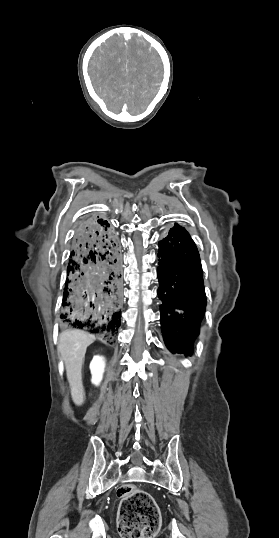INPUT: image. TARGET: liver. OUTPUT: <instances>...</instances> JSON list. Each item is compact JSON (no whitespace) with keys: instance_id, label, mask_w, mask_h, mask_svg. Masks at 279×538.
<instances>
[{"instance_id":"1","label":"liver","mask_w":279,"mask_h":538,"mask_svg":"<svg viewBox=\"0 0 279 538\" xmlns=\"http://www.w3.org/2000/svg\"><path fill=\"white\" fill-rule=\"evenodd\" d=\"M94 340L95 336L83 330H64L60 334L58 352L64 360L72 400L76 406H81L84 402L81 370L86 350Z\"/></svg>"}]
</instances>
